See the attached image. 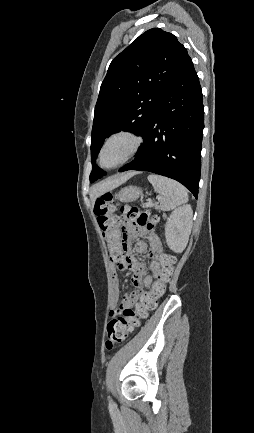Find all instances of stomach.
<instances>
[{
  "mask_svg": "<svg viewBox=\"0 0 254 433\" xmlns=\"http://www.w3.org/2000/svg\"><path fill=\"white\" fill-rule=\"evenodd\" d=\"M142 190L137 186H127L122 188L115 198L121 202H133L139 198Z\"/></svg>",
  "mask_w": 254,
  "mask_h": 433,
  "instance_id": "0dacf381",
  "label": "stomach"
}]
</instances>
